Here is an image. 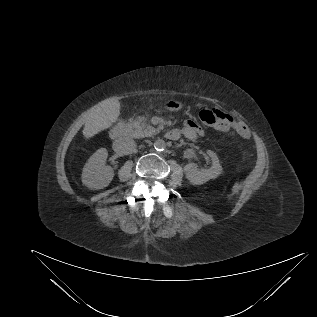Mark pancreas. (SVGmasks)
<instances>
[{
	"instance_id": "1",
	"label": "pancreas",
	"mask_w": 317,
	"mask_h": 317,
	"mask_svg": "<svg viewBox=\"0 0 317 317\" xmlns=\"http://www.w3.org/2000/svg\"><path fill=\"white\" fill-rule=\"evenodd\" d=\"M155 132H156V129L148 125L144 121V118L142 117H137L135 120L131 119L125 125V133L135 138H143V137L151 136Z\"/></svg>"
}]
</instances>
